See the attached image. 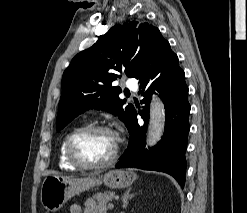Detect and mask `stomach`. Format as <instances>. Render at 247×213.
I'll return each instance as SVG.
<instances>
[{"label": "stomach", "mask_w": 247, "mask_h": 213, "mask_svg": "<svg viewBox=\"0 0 247 213\" xmlns=\"http://www.w3.org/2000/svg\"><path fill=\"white\" fill-rule=\"evenodd\" d=\"M137 176L126 170H111L104 176L86 178H65L47 176L41 185L40 199L47 211L59 210L69 199L90 188L104 183L110 188H125L130 186Z\"/></svg>", "instance_id": "obj_1"}]
</instances>
